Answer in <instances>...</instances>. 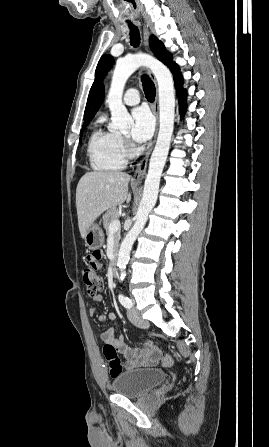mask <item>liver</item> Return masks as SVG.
Masks as SVG:
<instances>
[{
	"mask_svg": "<svg viewBox=\"0 0 269 447\" xmlns=\"http://www.w3.org/2000/svg\"><path fill=\"white\" fill-rule=\"evenodd\" d=\"M130 176L124 172H87L78 182L76 190V208L81 237L103 212L129 204L128 194Z\"/></svg>",
	"mask_w": 269,
	"mask_h": 447,
	"instance_id": "liver-1",
	"label": "liver"
}]
</instances>
